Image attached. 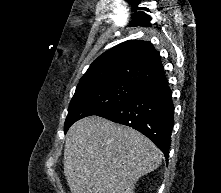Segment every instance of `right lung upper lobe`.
Listing matches in <instances>:
<instances>
[{
  "label": "right lung upper lobe",
  "mask_w": 221,
  "mask_h": 193,
  "mask_svg": "<svg viewBox=\"0 0 221 193\" xmlns=\"http://www.w3.org/2000/svg\"><path fill=\"white\" fill-rule=\"evenodd\" d=\"M165 77L159 52L147 41L129 40L100 55L81 77L76 90L126 82L139 85Z\"/></svg>",
  "instance_id": "right-lung-upper-lobe-1"
}]
</instances>
